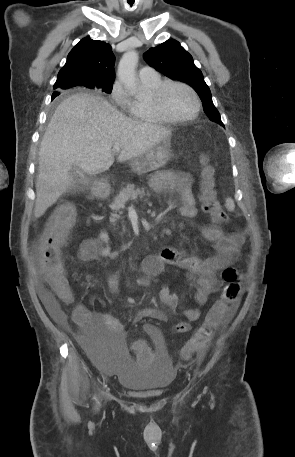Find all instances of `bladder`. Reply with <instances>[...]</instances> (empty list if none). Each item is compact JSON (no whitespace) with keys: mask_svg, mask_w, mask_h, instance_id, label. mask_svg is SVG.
<instances>
[{"mask_svg":"<svg viewBox=\"0 0 295 457\" xmlns=\"http://www.w3.org/2000/svg\"><path fill=\"white\" fill-rule=\"evenodd\" d=\"M123 338H79L81 356H89L101 369L116 375L128 390L144 396H158L174 379L172 357L165 345H154L152 366H132L131 356L123 350Z\"/></svg>","mask_w":295,"mask_h":457,"instance_id":"bladder-1","label":"bladder"}]
</instances>
